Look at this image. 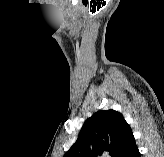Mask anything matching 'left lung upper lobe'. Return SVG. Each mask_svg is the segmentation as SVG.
<instances>
[{
	"label": "left lung upper lobe",
	"mask_w": 164,
	"mask_h": 157,
	"mask_svg": "<svg viewBox=\"0 0 164 157\" xmlns=\"http://www.w3.org/2000/svg\"><path fill=\"white\" fill-rule=\"evenodd\" d=\"M132 136L121 113L112 109L97 111L86 120L77 141L63 157H99L104 152L116 157Z\"/></svg>",
	"instance_id": "1"
}]
</instances>
